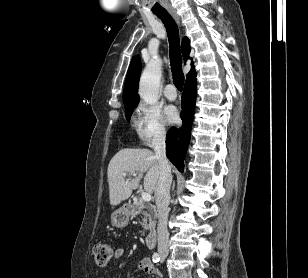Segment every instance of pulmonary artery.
I'll list each match as a JSON object with an SVG mask.
<instances>
[{
  "mask_svg": "<svg viewBox=\"0 0 308 278\" xmlns=\"http://www.w3.org/2000/svg\"><path fill=\"white\" fill-rule=\"evenodd\" d=\"M164 95L169 100H175L177 97V92L173 84H168L164 88Z\"/></svg>",
  "mask_w": 308,
  "mask_h": 278,
  "instance_id": "obj_1",
  "label": "pulmonary artery"
}]
</instances>
